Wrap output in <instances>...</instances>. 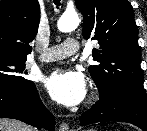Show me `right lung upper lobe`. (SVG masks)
<instances>
[{
    "label": "right lung upper lobe",
    "mask_w": 147,
    "mask_h": 131,
    "mask_svg": "<svg viewBox=\"0 0 147 131\" xmlns=\"http://www.w3.org/2000/svg\"><path fill=\"white\" fill-rule=\"evenodd\" d=\"M39 21L38 0H1L0 57L26 59Z\"/></svg>",
    "instance_id": "right-lung-upper-lobe-1"
}]
</instances>
